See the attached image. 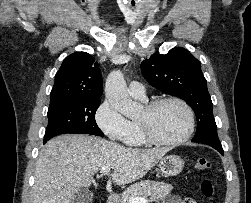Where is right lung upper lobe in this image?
<instances>
[{"instance_id": "obj_1", "label": "right lung upper lobe", "mask_w": 251, "mask_h": 203, "mask_svg": "<svg viewBox=\"0 0 251 203\" xmlns=\"http://www.w3.org/2000/svg\"><path fill=\"white\" fill-rule=\"evenodd\" d=\"M102 84L94 58L86 52H75L63 60L55 75L50 107L76 100L100 99Z\"/></svg>"}]
</instances>
